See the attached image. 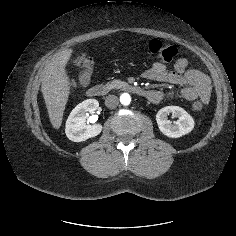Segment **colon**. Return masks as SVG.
<instances>
[{
	"label": "colon",
	"instance_id": "1",
	"mask_svg": "<svg viewBox=\"0 0 236 236\" xmlns=\"http://www.w3.org/2000/svg\"><path fill=\"white\" fill-rule=\"evenodd\" d=\"M143 46L147 51L163 61H172L177 55V49L174 46L166 45L157 39H148L143 42ZM79 71L77 75L71 78V84L73 86L81 87L86 85L92 76L94 62L88 55H80L75 59ZM193 109L197 112L203 109V103L196 101L193 104Z\"/></svg>",
	"mask_w": 236,
	"mask_h": 236
}]
</instances>
